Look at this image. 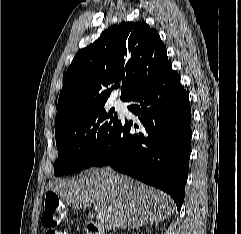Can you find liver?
Instances as JSON below:
<instances>
[{
    "instance_id": "6515ba94",
    "label": "liver",
    "mask_w": 241,
    "mask_h": 234,
    "mask_svg": "<svg viewBox=\"0 0 241 234\" xmlns=\"http://www.w3.org/2000/svg\"><path fill=\"white\" fill-rule=\"evenodd\" d=\"M47 187L73 208L97 207L106 230L158 224L169 218L175 207L166 193L110 167L91 168L72 179L49 183Z\"/></svg>"
}]
</instances>
